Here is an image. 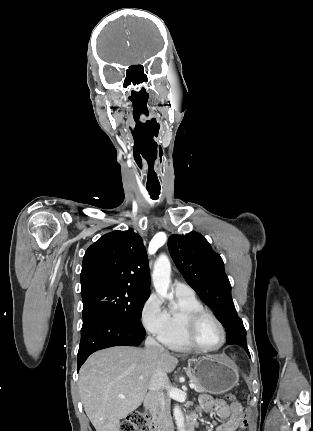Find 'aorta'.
I'll return each mask as SVG.
<instances>
[{"mask_svg":"<svg viewBox=\"0 0 313 431\" xmlns=\"http://www.w3.org/2000/svg\"><path fill=\"white\" fill-rule=\"evenodd\" d=\"M170 275H171L170 260L166 255L161 254L157 258L153 268L152 280H153L154 288L159 296L165 297L168 299H173V295L167 294V291L171 282ZM173 416L175 418L178 431H186L183 413L180 407L177 405L173 409Z\"/></svg>","mask_w":313,"mask_h":431,"instance_id":"1","label":"aorta"}]
</instances>
